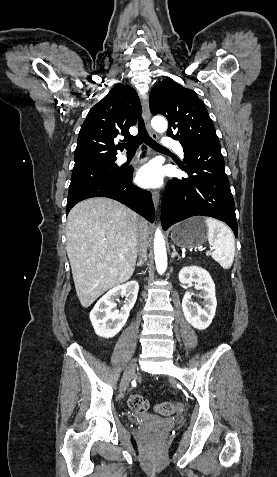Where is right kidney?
I'll list each match as a JSON object with an SVG mask.
<instances>
[{"label": "right kidney", "mask_w": 277, "mask_h": 477, "mask_svg": "<svg viewBox=\"0 0 277 477\" xmlns=\"http://www.w3.org/2000/svg\"><path fill=\"white\" fill-rule=\"evenodd\" d=\"M138 290L139 284L129 281L112 288L96 303L90 312V321L98 336L112 338L120 332L136 302ZM123 295L126 296L125 304L119 311L115 309L116 301Z\"/></svg>", "instance_id": "ca27d5eb"}]
</instances>
